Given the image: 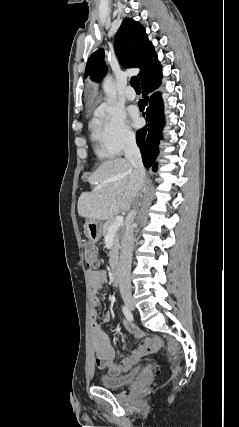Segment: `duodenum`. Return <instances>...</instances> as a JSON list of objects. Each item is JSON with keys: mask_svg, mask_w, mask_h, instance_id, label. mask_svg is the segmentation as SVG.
Instances as JSON below:
<instances>
[{"mask_svg": "<svg viewBox=\"0 0 239 427\" xmlns=\"http://www.w3.org/2000/svg\"><path fill=\"white\" fill-rule=\"evenodd\" d=\"M120 266L117 262H114L111 269L112 279L114 282H118L120 279Z\"/></svg>", "mask_w": 239, "mask_h": 427, "instance_id": "duodenum-1", "label": "duodenum"}]
</instances>
